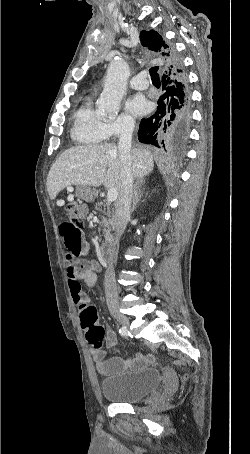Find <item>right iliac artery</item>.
<instances>
[{
	"label": "right iliac artery",
	"instance_id": "obj_1",
	"mask_svg": "<svg viewBox=\"0 0 250 454\" xmlns=\"http://www.w3.org/2000/svg\"><path fill=\"white\" fill-rule=\"evenodd\" d=\"M119 333L122 336H126L129 332H128V330L125 327H122V328L119 329Z\"/></svg>",
	"mask_w": 250,
	"mask_h": 454
}]
</instances>
